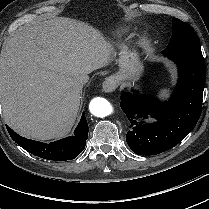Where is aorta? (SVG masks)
<instances>
[{"instance_id":"1","label":"aorta","mask_w":209,"mask_h":209,"mask_svg":"<svg viewBox=\"0 0 209 209\" xmlns=\"http://www.w3.org/2000/svg\"><path fill=\"white\" fill-rule=\"evenodd\" d=\"M89 110L96 117H106L112 113V106L106 99L96 97L90 101Z\"/></svg>"}]
</instances>
